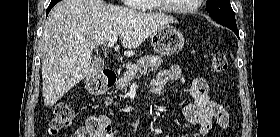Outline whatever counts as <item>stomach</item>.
<instances>
[{
  "mask_svg": "<svg viewBox=\"0 0 280 137\" xmlns=\"http://www.w3.org/2000/svg\"><path fill=\"white\" fill-rule=\"evenodd\" d=\"M153 49L162 56L177 54L184 46L182 33L173 26L166 25L150 36Z\"/></svg>",
  "mask_w": 280,
  "mask_h": 137,
  "instance_id": "0dacf381",
  "label": "stomach"
}]
</instances>
